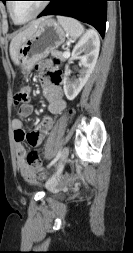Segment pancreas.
I'll return each instance as SVG.
<instances>
[{
  "mask_svg": "<svg viewBox=\"0 0 133 253\" xmlns=\"http://www.w3.org/2000/svg\"><path fill=\"white\" fill-rule=\"evenodd\" d=\"M51 55H52L53 57L59 59L60 61H63V60L66 59V58L64 57V55H63L61 52H59V51H52V52H51Z\"/></svg>",
  "mask_w": 133,
  "mask_h": 253,
  "instance_id": "cf45deb5",
  "label": "pancreas"
}]
</instances>
